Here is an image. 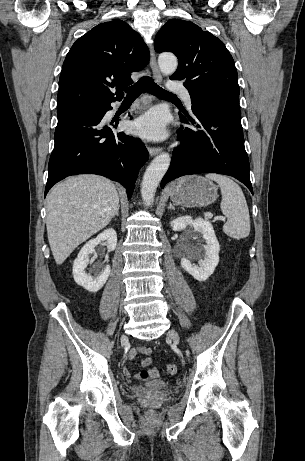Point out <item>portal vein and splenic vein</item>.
I'll list each match as a JSON object with an SVG mask.
<instances>
[{"label":"portal vein and splenic vein","instance_id":"obj_1","mask_svg":"<svg viewBox=\"0 0 305 461\" xmlns=\"http://www.w3.org/2000/svg\"><path fill=\"white\" fill-rule=\"evenodd\" d=\"M208 217H209V218H212V215H211V214H209V215H208ZM214 219H215V220H221V221H225V219H226V218H225V217H223V216H216V217H214Z\"/></svg>","mask_w":305,"mask_h":461}]
</instances>
